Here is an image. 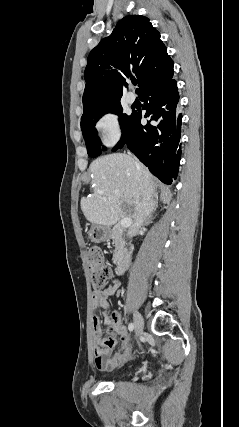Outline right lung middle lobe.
Instances as JSON below:
<instances>
[{
    "instance_id": "1",
    "label": "right lung middle lobe",
    "mask_w": 239,
    "mask_h": 427,
    "mask_svg": "<svg viewBox=\"0 0 239 427\" xmlns=\"http://www.w3.org/2000/svg\"><path fill=\"white\" fill-rule=\"evenodd\" d=\"M107 113H115L119 115V122L122 129V137L116 147L123 146L125 142L126 130L128 123L131 119V115L123 114V109L120 102H114L99 106L89 111L86 115L82 116L81 119V130L85 139L87 152L88 155L92 158L97 157L102 153L101 141L97 136L95 124L99 120V118H101L104 114Z\"/></svg>"
}]
</instances>
